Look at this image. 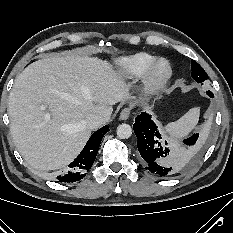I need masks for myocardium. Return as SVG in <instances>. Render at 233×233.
<instances>
[{
  "instance_id": "f54148a6",
  "label": "myocardium",
  "mask_w": 233,
  "mask_h": 233,
  "mask_svg": "<svg viewBox=\"0 0 233 233\" xmlns=\"http://www.w3.org/2000/svg\"><path fill=\"white\" fill-rule=\"evenodd\" d=\"M161 68H164L161 71ZM173 74L171 63L165 58L156 59L141 75V90L144 94H154L162 90Z\"/></svg>"
}]
</instances>
